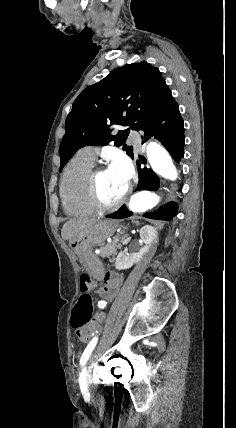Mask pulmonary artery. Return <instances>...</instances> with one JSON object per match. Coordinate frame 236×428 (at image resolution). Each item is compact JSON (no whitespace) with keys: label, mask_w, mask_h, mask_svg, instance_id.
I'll return each mask as SVG.
<instances>
[{"label":"pulmonary artery","mask_w":236,"mask_h":428,"mask_svg":"<svg viewBox=\"0 0 236 428\" xmlns=\"http://www.w3.org/2000/svg\"><path fill=\"white\" fill-rule=\"evenodd\" d=\"M131 141L136 145V146H140L141 144V138L140 136H130ZM87 152L89 154V156L95 160V149L92 147L87 148Z\"/></svg>","instance_id":"obj_1"}]
</instances>
